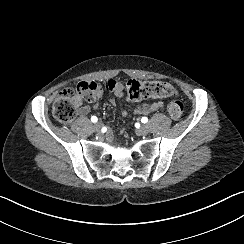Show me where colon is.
Instances as JSON below:
<instances>
[{
  "mask_svg": "<svg viewBox=\"0 0 244 244\" xmlns=\"http://www.w3.org/2000/svg\"><path fill=\"white\" fill-rule=\"evenodd\" d=\"M128 97L133 101L151 98L175 97L177 91L174 86L165 81H141L131 79L126 85ZM104 94V86L95 81L80 82L73 88L60 92L53 105V114L60 122L71 121L81 100L97 102ZM167 112L171 119L178 120L183 113V104L174 100L168 103Z\"/></svg>",
  "mask_w": 244,
  "mask_h": 244,
  "instance_id": "obj_1",
  "label": "colon"
}]
</instances>
